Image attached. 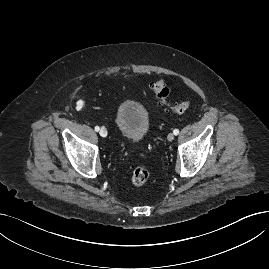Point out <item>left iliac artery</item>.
Instances as JSON below:
<instances>
[{
	"label": "left iliac artery",
	"instance_id": "obj_1",
	"mask_svg": "<svg viewBox=\"0 0 269 269\" xmlns=\"http://www.w3.org/2000/svg\"><path fill=\"white\" fill-rule=\"evenodd\" d=\"M173 133H174V135H178V134H179V130H178V129H175V130L173 131Z\"/></svg>",
	"mask_w": 269,
	"mask_h": 269
}]
</instances>
